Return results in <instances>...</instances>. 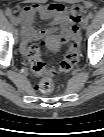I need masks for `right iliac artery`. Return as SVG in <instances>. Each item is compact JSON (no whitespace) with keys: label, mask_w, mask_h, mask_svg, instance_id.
<instances>
[{"label":"right iliac artery","mask_w":104,"mask_h":137,"mask_svg":"<svg viewBox=\"0 0 104 137\" xmlns=\"http://www.w3.org/2000/svg\"><path fill=\"white\" fill-rule=\"evenodd\" d=\"M5 14L8 16V17H11L12 16V11L10 9H7L5 11Z\"/></svg>","instance_id":"obj_1"}]
</instances>
